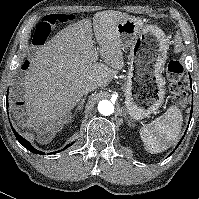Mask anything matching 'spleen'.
Returning <instances> with one entry per match:
<instances>
[{"instance_id": "spleen-1", "label": "spleen", "mask_w": 199, "mask_h": 199, "mask_svg": "<svg viewBox=\"0 0 199 199\" xmlns=\"http://www.w3.org/2000/svg\"><path fill=\"white\" fill-rule=\"evenodd\" d=\"M180 109L171 106L160 117L140 129V137L150 153H160L176 142L182 128Z\"/></svg>"}]
</instances>
